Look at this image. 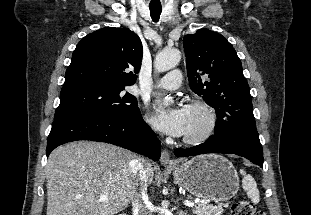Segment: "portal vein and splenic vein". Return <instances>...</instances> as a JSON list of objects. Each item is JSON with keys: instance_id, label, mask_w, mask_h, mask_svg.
<instances>
[{"instance_id": "obj_1", "label": "portal vein and splenic vein", "mask_w": 311, "mask_h": 215, "mask_svg": "<svg viewBox=\"0 0 311 215\" xmlns=\"http://www.w3.org/2000/svg\"><path fill=\"white\" fill-rule=\"evenodd\" d=\"M107 198H108V196H107L106 194H104V195H101V196H100L99 200H100V201H105V200H107ZM184 205H186V206H188V207H193V206H195V204H194L193 202L188 201V200H185V201H184Z\"/></svg>"}]
</instances>
